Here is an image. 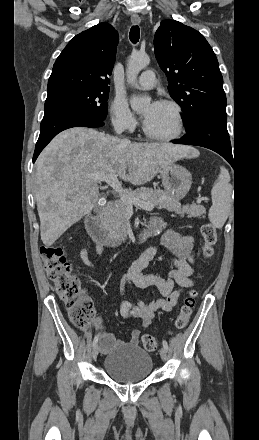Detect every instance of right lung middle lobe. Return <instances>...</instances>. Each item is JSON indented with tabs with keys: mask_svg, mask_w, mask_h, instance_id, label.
I'll list each match as a JSON object with an SVG mask.
<instances>
[{
	"mask_svg": "<svg viewBox=\"0 0 259 440\" xmlns=\"http://www.w3.org/2000/svg\"><path fill=\"white\" fill-rule=\"evenodd\" d=\"M109 90L72 88L48 94L44 105V118L77 113L100 120L107 116Z\"/></svg>",
	"mask_w": 259,
	"mask_h": 440,
	"instance_id": "right-lung-middle-lobe-1",
	"label": "right lung middle lobe"
}]
</instances>
